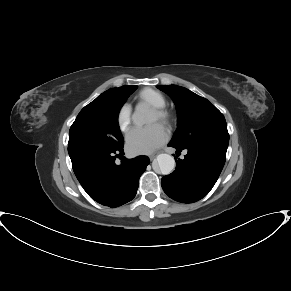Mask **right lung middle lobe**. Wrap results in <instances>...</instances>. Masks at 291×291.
Here are the masks:
<instances>
[{
    "instance_id": "obj_1",
    "label": "right lung middle lobe",
    "mask_w": 291,
    "mask_h": 291,
    "mask_svg": "<svg viewBox=\"0 0 291 291\" xmlns=\"http://www.w3.org/2000/svg\"><path fill=\"white\" fill-rule=\"evenodd\" d=\"M136 89L137 86L111 88L85 106L70 128L68 147H121L124 139L118 125V114L126 99Z\"/></svg>"
}]
</instances>
